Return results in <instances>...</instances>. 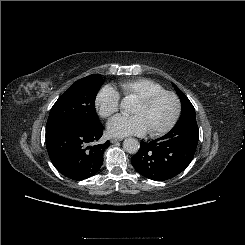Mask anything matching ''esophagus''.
<instances>
[{"label": "esophagus", "instance_id": "34e87169", "mask_svg": "<svg viewBox=\"0 0 245 245\" xmlns=\"http://www.w3.org/2000/svg\"><path fill=\"white\" fill-rule=\"evenodd\" d=\"M122 139L120 138H112L110 141L111 143H115V142H118V141H121Z\"/></svg>", "mask_w": 245, "mask_h": 245}]
</instances>
